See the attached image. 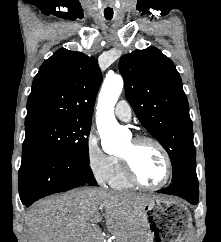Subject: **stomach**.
<instances>
[{
    "instance_id": "stomach-1",
    "label": "stomach",
    "mask_w": 221,
    "mask_h": 242,
    "mask_svg": "<svg viewBox=\"0 0 221 242\" xmlns=\"http://www.w3.org/2000/svg\"><path fill=\"white\" fill-rule=\"evenodd\" d=\"M146 242H183L192 228L189 210L177 199L158 197L142 209Z\"/></svg>"
}]
</instances>
